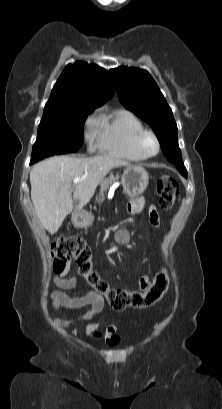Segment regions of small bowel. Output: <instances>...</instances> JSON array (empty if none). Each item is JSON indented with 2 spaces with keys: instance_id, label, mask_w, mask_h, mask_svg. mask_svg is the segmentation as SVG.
Here are the masks:
<instances>
[{
  "instance_id": "small-bowel-1",
  "label": "small bowel",
  "mask_w": 222,
  "mask_h": 409,
  "mask_svg": "<svg viewBox=\"0 0 222 409\" xmlns=\"http://www.w3.org/2000/svg\"><path fill=\"white\" fill-rule=\"evenodd\" d=\"M145 206L146 199L145 197L141 196L128 205V212L131 214L141 213L144 210ZM148 215L152 225L155 227L159 226V213L157 208L152 204L148 205ZM69 269L70 264H68L62 272L54 277L53 282L57 289L51 290L50 296L58 304L66 308L79 309L86 305H91V309L85 315L78 316L72 320H55V323L61 328H68L78 322H87L85 329L86 335L99 338L102 336V334L98 331L102 326L105 325L106 321H94V319L103 311L105 304L104 299L101 295H98L95 292H90L79 297L70 296L65 293L64 290L75 288L80 281V276H76L70 279L63 278L68 273ZM149 279L150 278L147 276L142 277L140 280V287L145 286ZM116 330V324L108 325L104 333L105 338L108 341L112 342L111 340L116 333ZM116 341H113L112 343H115Z\"/></svg>"
}]
</instances>
